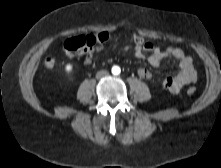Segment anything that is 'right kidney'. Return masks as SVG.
Here are the masks:
<instances>
[{"label":"right kidney","instance_id":"obj_1","mask_svg":"<svg viewBox=\"0 0 221 168\" xmlns=\"http://www.w3.org/2000/svg\"><path fill=\"white\" fill-rule=\"evenodd\" d=\"M65 71L67 74H70L73 71V65L72 64H67L65 66Z\"/></svg>","mask_w":221,"mask_h":168}]
</instances>
